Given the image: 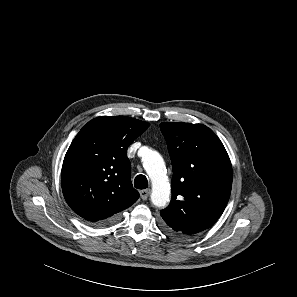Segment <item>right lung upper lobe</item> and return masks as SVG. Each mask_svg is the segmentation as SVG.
Returning <instances> with one entry per match:
<instances>
[{
	"mask_svg": "<svg viewBox=\"0 0 297 297\" xmlns=\"http://www.w3.org/2000/svg\"><path fill=\"white\" fill-rule=\"evenodd\" d=\"M148 127L130 117L101 116L79 131L61 171L64 198L76 214L97 223L137 201L127 148Z\"/></svg>",
	"mask_w": 297,
	"mask_h": 297,
	"instance_id": "right-lung-upper-lobe-1",
	"label": "right lung upper lobe"
}]
</instances>
